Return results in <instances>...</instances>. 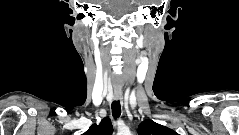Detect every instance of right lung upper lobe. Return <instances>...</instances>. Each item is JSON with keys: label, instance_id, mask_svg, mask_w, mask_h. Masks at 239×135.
<instances>
[{"label": "right lung upper lobe", "instance_id": "obj_1", "mask_svg": "<svg viewBox=\"0 0 239 135\" xmlns=\"http://www.w3.org/2000/svg\"><path fill=\"white\" fill-rule=\"evenodd\" d=\"M112 130L110 119L104 118L99 125H91L90 128L82 135H110Z\"/></svg>", "mask_w": 239, "mask_h": 135}]
</instances>
